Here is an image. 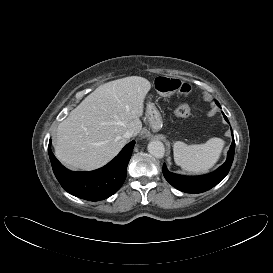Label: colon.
I'll list each match as a JSON object with an SVG mask.
<instances>
[{
	"label": "colon",
	"instance_id": "5ec220e1",
	"mask_svg": "<svg viewBox=\"0 0 273 273\" xmlns=\"http://www.w3.org/2000/svg\"><path fill=\"white\" fill-rule=\"evenodd\" d=\"M155 85L157 90L163 94L187 96L191 91V87L188 83L174 78L158 77L155 81ZM176 114L179 117L186 118L190 116L191 110L188 105L182 104L176 109Z\"/></svg>",
	"mask_w": 273,
	"mask_h": 273
}]
</instances>
